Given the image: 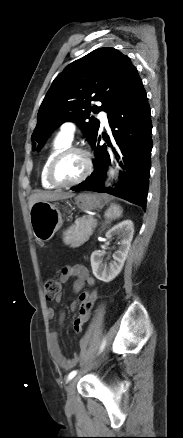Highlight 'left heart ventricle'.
I'll list each match as a JSON object with an SVG mask.
<instances>
[{"label":"left heart ventricle","mask_w":183,"mask_h":438,"mask_svg":"<svg viewBox=\"0 0 183 438\" xmlns=\"http://www.w3.org/2000/svg\"><path fill=\"white\" fill-rule=\"evenodd\" d=\"M84 167L85 161L81 154H69L57 163L54 170V178L61 183L72 182L83 173Z\"/></svg>","instance_id":"obj_1"}]
</instances>
